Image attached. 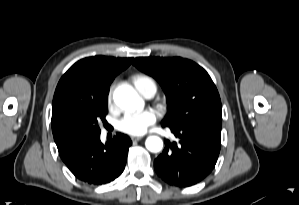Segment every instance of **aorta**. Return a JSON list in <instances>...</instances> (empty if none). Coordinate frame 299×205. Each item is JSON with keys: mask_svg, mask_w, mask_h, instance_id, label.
I'll use <instances>...</instances> for the list:
<instances>
[{"mask_svg": "<svg viewBox=\"0 0 299 205\" xmlns=\"http://www.w3.org/2000/svg\"><path fill=\"white\" fill-rule=\"evenodd\" d=\"M113 99L116 105L124 110L133 111L144 106L143 100L129 85H122L116 88ZM145 146L150 152L157 153L162 150L163 141L158 136H150L146 139Z\"/></svg>", "mask_w": 299, "mask_h": 205, "instance_id": "1", "label": "aorta"}]
</instances>
